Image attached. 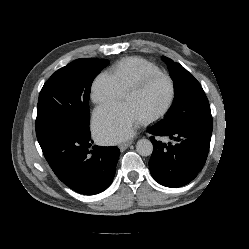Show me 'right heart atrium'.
Returning a JSON list of instances; mask_svg holds the SVG:
<instances>
[{"label": "right heart atrium", "mask_w": 249, "mask_h": 249, "mask_svg": "<svg viewBox=\"0 0 249 249\" xmlns=\"http://www.w3.org/2000/svg\"><path fill=\"white\" fill-rule=\"evenodd\" d=\"M123 91L110 73H101L92 82L90 97L96 105H104L119 100Z\"/></svg>", "instance_id": "right-heart-atrium-1"}]
</instances>
